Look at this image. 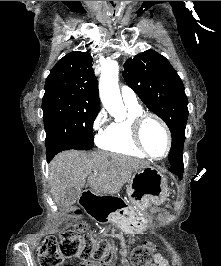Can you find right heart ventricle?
<instances>
[{
  "label": "right heart ventricle",
  "mask_w": 221,
  "mask_h": 266,
  "mask_svg": "<svg viewBox=\"0 0 221 266\" xmlns=\"http://www.w3.org/2000/svg\"><path fill=\"white\" fill-rule=\"evenodd\" d=\"M128 117L123 121L111 122L98 138V146L106 151L122 155L144 158L145 155L134 144L131 134V119L141 108L128 107Z\"/></svg>",
  "instance_id": "e07e8e85"
}]
</instances>
